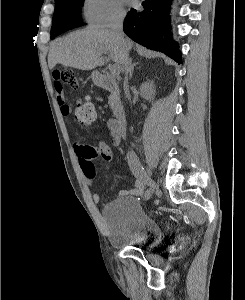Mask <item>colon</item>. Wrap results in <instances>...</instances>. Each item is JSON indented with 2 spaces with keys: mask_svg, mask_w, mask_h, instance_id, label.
<instances>
[{
  "mask_svg": "<svg viewBox=\"0 0 245 300\" xmlns=\"http://www.w3.org/2000/svg\"><path fill=\"white\" fill-rule=\"evenodd\" d=\"M53 76L61 83L68 85L73 90L78 88V79L72 70H58L54 72ZM75 118L80 124L86 126H90L95 122V108L88 97L77 100L75 107ZM85 170L88 174L92 173L93 168L90 162L85 164Z\"/></svg>",
  "mask_w": 245,
  "mask_h": 300,
  "instance_id": "colon-1",
  "label": "colon"
}]
</instances>
